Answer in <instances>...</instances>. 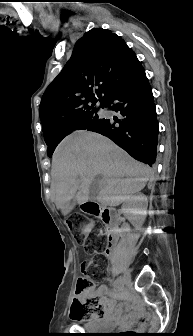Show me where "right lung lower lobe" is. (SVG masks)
<instances>
[{
    "label": "right lung lower lobe",
    "instance_id": "98d812e1",
    "mask_svg": "<svg viewBox=\"0 0 193 336\" xmlns=\"http://www.w3.org/2000/svg\"><path fill=\"white\" fill-rule=\"evenodd\" d=\"M104 107L121 117L106 119L95 132L110 138L135 159L154 165L159 128L152 90L139 61L119 81Z\"/></svg>",
    "mask_w": 193,
    "mask_h": 336
}]
</instances>
